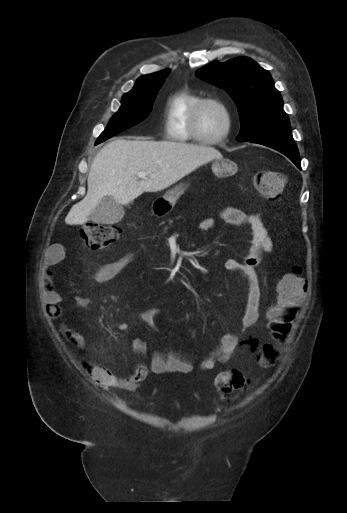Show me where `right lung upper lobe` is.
<instances>
[{
    "label": "right lung upper lobe",
    "instance_id": "cb5924a9",
    "mask_svg": "<svg viewBox=\"0 0 347 513\" xmlns=\"http://www.w3.org/2000/svg\"><path fill=\"white\" fill-rule=\"evenodd\" d=\"M169 74V70H165V71H160V72H157V73H153V74H150V75H145V76H142L140 77L135 86H140L142 84H145L147 82H152V81H156V80H161V79H165V77Z\"/></svg>",
    "mask_w": 347,
    "mask_h": 513
}]
</instances>
